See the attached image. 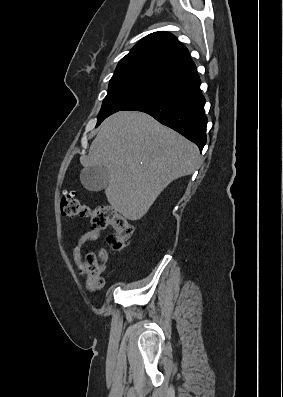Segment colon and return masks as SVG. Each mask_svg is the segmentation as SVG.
Listing matches in <instances>:
<instances>
[{
  "label": "colon",
  "instance_id": "colon-1",
  "mask_svg": "<svg viewBox=\"0 0 283 397\" xmlns=\"http://www.w3.org/2000/svg\"><path fill=\"white\" fill-rule=\"evenodd\" d=\"M60 211L62 215L79 216L90 219L91 224L96 228L111 226L114 230L107 237V244L110 250L120 251L130 242L133 235V226L123 215L110 205H100L94 208L83 204L74 193L64 192L60 200ZM107 257L105 250L99 253H90L86 256L81 271L87 277V288L98 291L103 287V280L100 277V262Z\"/></svg>",
  "mask_w": 283,
  "mask_h": 397
}]
</instances>
